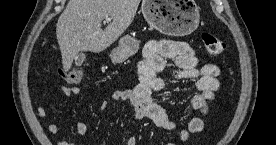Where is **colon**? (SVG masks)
Returning <instances> with one entry per match:
<instances>
[{"label": "colon", "mask_w": 276, "mask_h": 145, "mask_svg": "<svg viewBox=\"0 0 276 145\" xmlns=\"http://www.w3.org/2000/svg\"><path fill=\"white\" fill-rule=\"evenodd\" d=\"M202 41L207 52L210 55H219L225 49V44L222 40L211 33H203L202 34ZM61 76L71 84H78L82 81L84 72L80 68H73L69 71H62Z\"/></svg>", "instance_id": "obj_1"}]
</instances>
